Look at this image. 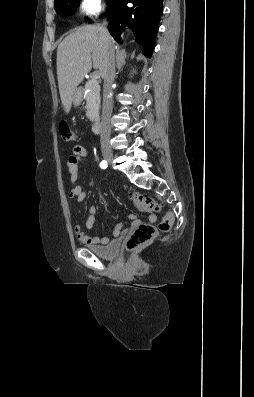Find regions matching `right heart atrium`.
<instances>
[{
  "instance_id": "d8ad5b80",
  "label": "right heart atrium",
  "mask_w": 254,
  "mask_h": 397,
  "mask_svg": "<svg viewBox=\"0 0 254 397\" xmlns=\"http://www.w3.org/2000/svg\"><path fill=\"white\" fill-rule=\"evenodd\" d=\"M79 11L84 16H96L103 10L102 0H80Z\"/></svg>"
}]
</instances>
